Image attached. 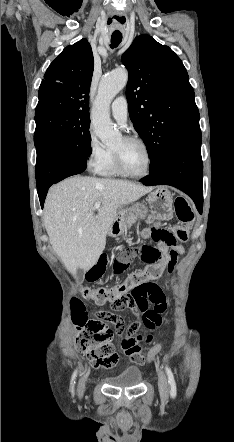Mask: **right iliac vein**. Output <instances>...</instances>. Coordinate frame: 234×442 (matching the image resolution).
<instances>
[{
	"label": "right iliac vein",
	"mask_w": 234,
	"mask_h": 442,
	"mask_svg": "<svg viewBox=\"0 0 234 442\" xmlns=\"http://www.w3.org/2000/svg\"><path fill=\"white\" fill-rule=\"evenodd\" d=\"M85 383H86V378L82 377L79 380V384H78V393L79 395H82L85 389Z\"/></svg>",
	"instance_id": "1"
}]
</instances>
